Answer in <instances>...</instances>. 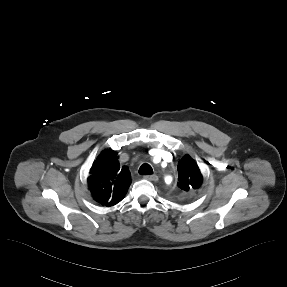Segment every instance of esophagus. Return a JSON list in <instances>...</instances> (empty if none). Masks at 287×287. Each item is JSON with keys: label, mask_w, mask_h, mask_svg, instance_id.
Instances as JSON below:
<instances>
[{"label": "esophagus", "mask_w": 287, "mask_h": 287, "mask_svg": "<svg viewBox=\"0 0 287 287\" xmlns=\"http://www.w3.org/2000/svg\"><path fill=\"white\" fill-rule=\"evenodd\" d=\"M144 178L149 181H158V176L155 174L145 175Z\"/></svg>", "instance_id": "esophagus-1"}]
</instances>
